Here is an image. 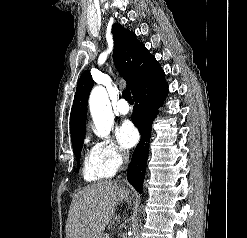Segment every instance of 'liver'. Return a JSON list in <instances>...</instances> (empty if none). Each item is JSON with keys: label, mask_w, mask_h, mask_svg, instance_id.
<instances>
[{"label": "liver", "mask_w": 247, "mask_h": 238, "mask_svg": "<svg viewBox=\"0 0 247 238\" xmlns=\"http://www.w3.org/2000/svg\"><path fill=\"white\" fill-rule=\"evenodd\" d=\"M130 191L114 181L89 185L73 198L68 213L66 238H101L123 200L131 202Z\"/></svg>", "instance_id": "obj_1"}]
</instances>
